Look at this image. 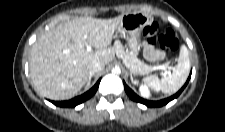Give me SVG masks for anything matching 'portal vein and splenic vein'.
<instances>
[{
  "label": "portal vein and splenic vein",
  "instance_id": "1",
  "mask_svg": "<svg viewBox=\"0 0 225 132\" xmlns=\"http://www.w3.org/2000/svg\"><path fill=\"white\" fill-rule=\"evenodd\" d=\"M87 51H91V46L90 45H87ZM171 66H168V65H155V66H152V68L150 69V71H154V70H166V69H170Z\"/></svg>",
  "mask_w": 225,
  "mask_h": 132
}]
</instances>
